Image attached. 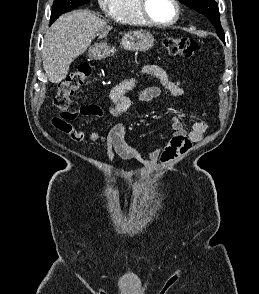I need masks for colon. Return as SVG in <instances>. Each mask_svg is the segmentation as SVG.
<instances>
[{
  "mask_svg": "<svg viewBox=\"0 0 259 294\" xmlns=\"http://www.w3.org/2000/svg\"><path fill=\"white\" fill-rule=\"evenodd\" d=\"M163 44L167 51L174 56L191 57L201 48L198 41L192 38H166ZM91 68L88 65L79 66L67 78L60 83L57 95L54 99L55 106L64 117H73L77 109L73 107L72 96L90 77Z\"/></svg>",
  "mask_w": 259,
  "mask_h": 294,
  "instance_id": "5ec220e1",
  "label": "colon"
}]
</instances>
